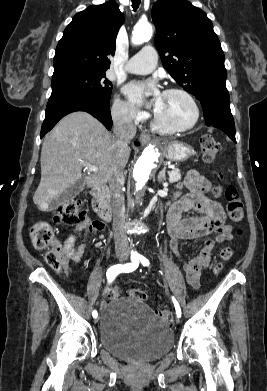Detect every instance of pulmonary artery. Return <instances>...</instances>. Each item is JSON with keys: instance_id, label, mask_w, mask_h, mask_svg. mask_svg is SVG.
<instances>
[{"instance_id": "e3ab8cb5", "label": "pulmonary artery", "mask_w": 267, "mask_h": 391, "mask_svg": "<svg viewBox=\"0 0 267 391\" xmlns=\"http://www.w3.org/2000/svg\"><path fill=\"white\" fill-rule=\"evenodd\" d=\"M157 60L156 49L147 45L127 62L125 70L134 74H147L155 69Z\"/></svg>"}]
</instances>
